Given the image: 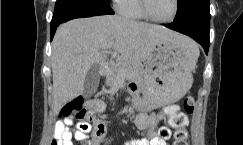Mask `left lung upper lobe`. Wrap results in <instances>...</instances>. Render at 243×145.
Here are the masks:
<instances>
[{
    "label": "left lung upper lobe",
    "instance_id": "left-lung-upper-lobe-1",
    "mask_svg": "<svg viewBox=\"0 0 243 145\" xmlns=\"http://www.w3.org/2000/svg\"><path fill=\"white\" fill-rule=\"evenodd\" d=\"M177 13L186 21L196 25L205 34L210 31L209 0H177Z\"/></svg>",
    "mask_w": 243,
    "mask_h": 145
}]
</instances>
